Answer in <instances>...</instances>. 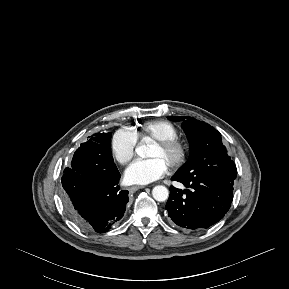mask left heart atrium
I'll return each mask as SVG.
<instances>
[{"mask_svg":"<svg viewBox=\"0 0 289 289\" xmlns=\"http://www.w3.org/2000/svg\"><path fill=\"white\" fill-rule=\"evenodd\" d=\"M167 167L157 158L139 160L132 163L125 172V180L130 184H148L161 178Z\"/></svg>","mask_w":289,"mask_h":289,"instance_id":"1","label":"left heart atrium"}]
</instances>
